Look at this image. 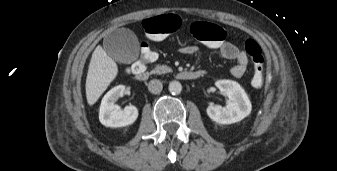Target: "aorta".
Masks as SVG:
<instances>
[{"label": "aorta", "mask_w": 337, "mask_h": 171, "mask_svg": "<svg viewBox=\"0 0 337 171\" xmlns=\"http://www.w3.org/2000/svg\"><path fill=\"white\" fill-rule=\"evenodd\" d=\"M168 89H169V92H170L171 94H173V95H178V94H180L181 91H182V85H181V83L178 82V81H171V82L169 83Z\"/></svg>", "instance_id": "obj_1"}]
</instances>
